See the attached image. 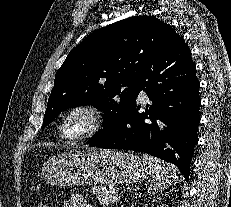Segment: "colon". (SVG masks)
Masks as SVG:
<instances>
[{
    "mask_svg": "<svg viewBox=\"0 0 231 207\" xmlns=\"http://www.w3.org/2000/svg\"><path fill=\"white\" fill-rule=\"evenodd\" d=\"M37 207H51L48 201H42Z\"/></svg>",
    "mask_w": 231,
    "mask_h": 207,
    "instance_id": "obj_1",
    "label": "colon"
}]
</instances>
